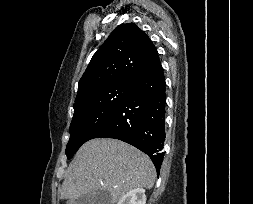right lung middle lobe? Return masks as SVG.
<instances>
[{"mask_svg":"<svg viewBox=\"0 0 253 204\" xmlns=\"http://www.w3.org/2000/svg\"><path fill=\"white\" fill-rule=\"evenodd\" d=\"M131 86L132 83L112 84L96 89L75 101L70 140L66 147L68 159L82 144L93 139L125 99Z\"/></svg>","mask_w":253,"mask_h":204,"instance_id":"obj_1","label":"right lung middle lobe"}]
</instances>
